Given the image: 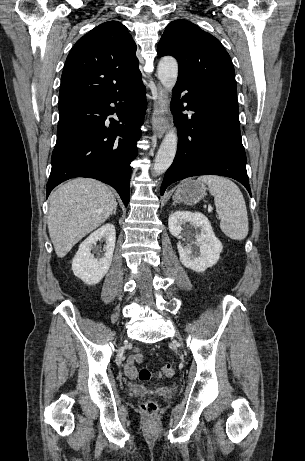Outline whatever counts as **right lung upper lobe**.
<instances>
[{"label":"right lung upper lobe","mask_w":305,"mask_h":461,"mask_svg":"<svg viewBox=\"0 0 305 461\" xmlns=\"http://www.w3.org/2000/svg\"><path fill=\"white\" fill-rule=\"evenodd\" d=\"M136 44L118 21L100 24L68 54L61 76L59 105L104 97L141 81Z\"/></svg>","instance_id":"1"}]
</instances>
